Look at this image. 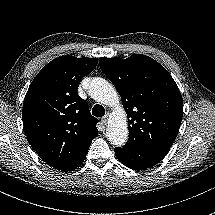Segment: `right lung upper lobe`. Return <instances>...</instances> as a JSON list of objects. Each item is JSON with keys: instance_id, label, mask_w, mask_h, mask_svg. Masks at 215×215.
Segmentation results:
<instances>
[{"instance_id": "obj_1", "label": "right lung upper lobe", "mask_w": 215, "mask_h": 215, "mask_svg": "<svg viewBox=\"0 0 215 215\" xmlns=\"http://www.w3.org/2000/svg\"><path fill=\"white\" fill-rule=\"evenodd\" d=\"M97 62V58L58 57L43 67L25 95L22 118L27 139L56 169L70 171L81 165L98 134V119L77 93L80 80Z\"/></svg>"}]
</instances>
